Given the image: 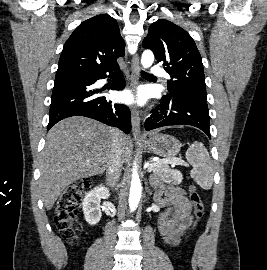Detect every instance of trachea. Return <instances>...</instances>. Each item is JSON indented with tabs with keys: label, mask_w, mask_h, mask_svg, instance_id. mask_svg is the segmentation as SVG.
I'll list each match as a JSON object with an SVG mask.
<instances>
[{
	"label": "trachea",
	"mask_w": 267,
	"mask_h": 270,
	"mask_svg": "<svg viewBox=\"0 0 267 270\" xmlns=\"http://www.w3.org/2000/svg\"><path fill=\"white\" fill-rule=\"evenodd\" d=\"M142 74H143V75H147V76H152V75H150V74H148V73H146V72H142Z\"/></svg>",
	"instance_id": "trachea-1"
}]
</instances>
